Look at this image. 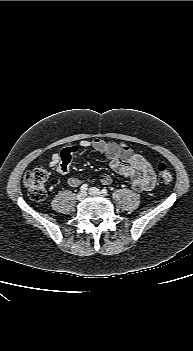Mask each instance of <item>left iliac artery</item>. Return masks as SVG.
Wrapping results in <instances>:
<instances>
[{
	"mask_svg": "<svg viewBox=\"0 0 193 351\" xmlns=\"http://www.w3.org/2000/svg\"><path fill=\"white\" fill-rule=\"evenodd\" d=\"M102 193L104 194V195H107V193H108V191H107V189H102Z\"/></svg>",
	"mask_w": 193,
	"mask_h": 351,
	"instance_id": "1",
	"label": "left iliac artery"
}]
</instances>
